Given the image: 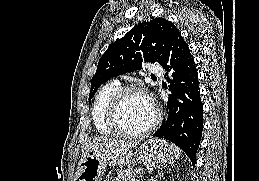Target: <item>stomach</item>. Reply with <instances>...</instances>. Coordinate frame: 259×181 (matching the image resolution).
Instances as JSON below:
<instances>
[{
    "label": "stomach",
    "instance_id": "obj_1",
    "mask_svg": "<svg viewBox=\"0 0 259 181\" xmlns=\"http://www.w3.org/2000/svg\"><path fill=\"white\" fill-rule=\"evenodd\" d=\"M173 161L171 147L161 139L146 140L138 149L88 151L78 164L75 181H101L107 166H130L135 162L148 168H163Z\"/></svg>",
    "mask_w": 259,
    "mask_h": 181
}]
</instances>
